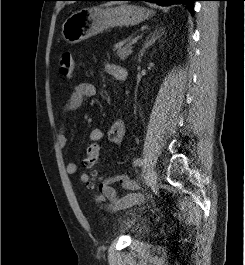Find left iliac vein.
<instances>
[{"label": "left iliac vein", "instance_id": "4c4485c4", "mask_svg": "<svg viewBox=\"0 0 245 265\" xmlns=\"http://www.w3.org/2000/svg\"><path fill=\"white\" fill-rule=\"evenodd\" d=\"M157 172L155 169H150L147 173L146 184L148 187H155L157 184Z\"/></svg>", "mask_w": 245, "mask_h": 265}]
</instances>
